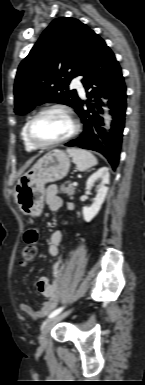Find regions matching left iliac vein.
<instances>
[{
	"instance_id": "1",
	"label": "left iliac vein",
	"mask_w": 145,
	"mask_h": 385,
	"mask_svg": "<svg viewBox=\"0 0 145 385\" xmlns=\"http://www.w3.org/2000/svg\"><path fill=\"white\" fill-rule=\"evenodd\" d=\"M70 312H71V310L66 311L62 314L56 315L54 317H51L43 323L42 328H41V335L39 337V342H40L41 346H46L47 335H48L49 331L52 329V327L56 323L61 321L63 318H65L68 314H70Z\"/></svg>"
}]
</instances>
